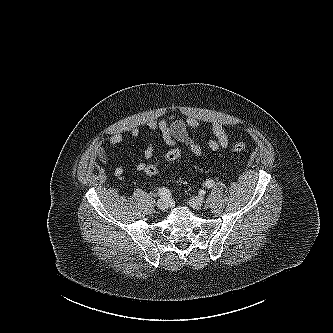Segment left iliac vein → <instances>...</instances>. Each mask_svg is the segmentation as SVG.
<instances>
[{
    "instance_id": "1",
    "label": "left iliac vein",
    "mask_w": 333,
    "mask_h": 333,
    "mask_svg": "<svg viewBox=\"0 0 333 333\" xmlns=\"http://www.w3.org/2000/svg\"><path fill=\"white\" fill-rule=\"evenodd\" d=\"M204 204V198L203 197H192L189 200V205L193 207L194 209H200Z\"/></svg>"
}]
</instances>
